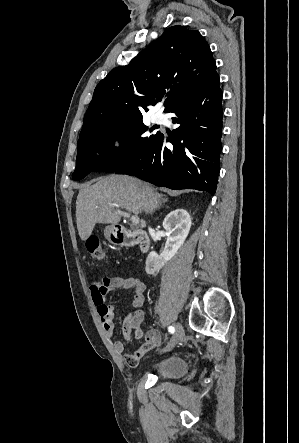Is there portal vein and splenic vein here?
Segmentation results:
<instances>
[{
    "label": "portal vein and splenic vein",
    "instance_id": "18ae733b",
    "mask_svg": "<svg viewBox=\"0 0 299 443\" xmlns=\"http://www.w3.org/2000/svg\"><path fill=\"white\" fill-rule=\"evenodd\" d=\"M119 214H121L122 216H125V217H130L129 214H126V213H123V212H119ZM130 220H131L132 224H134V225H137L139 223L138 216H131Z\"/></svg>",
    "mask_w": 299,
    "mask_h": 443
}]
</instances>
